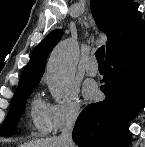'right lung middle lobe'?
<instances>
[{"instance_id":"right-lung-middle-lobe-1","label":"right lung middle lobe","mask_w":145,"mask_h":147,"mask_svg":"<svg viewBox=\"0 0 145 147\" xmlns=\"http://www.w3.org/2000/svg\"><path fill=\"white\" fill-rule=\"evenodd\" d=\"M35 87L36 86H31L15 91L9 114L0 129V134L2 136H10L16 133V125L25 110L26 100L29 98Z\"/></svg>"}]
</instances>
